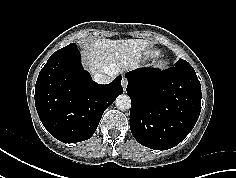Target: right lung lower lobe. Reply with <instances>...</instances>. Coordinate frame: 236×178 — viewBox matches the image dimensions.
<instances>
[{
    "label": "right lung lower lobe",
    "instance_id": "98d812e1",
    "mask_svg": "<svg viewBox=\"0 0 236 178\" xmlns=\"http://www.w3.org/2000/svg\"><path fill=\"white\" fill-rule=\"evenodd\" d=\"M122 76L94 82L81 66L75 43L57 50L39 73L35 105L44 127L64 143L91 138L104 111L123 93Z\"/></svg>",
    "mask_w": 236,
    "mask_h": 178
}]
</instances>
